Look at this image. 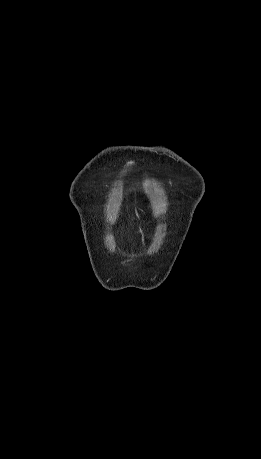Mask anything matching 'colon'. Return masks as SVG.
I'll list each match as a JSON object with an SVG mask.
<instances>
[{
  "label": "colon",
  "mask_w": 261,
  "mask_h": 459,
  "mask_svg": "<svg viewBox=\"0 0 261 459\" xmlns=\"http://www.w3.org/2000/svg\"><path fill=\"white\" fill-rule=\"evenodd\" d=\"M142 224L145 225V226H148L150 224V221L148 219H145L142 221ZM137 231V228L135 226H132V227H126L124 229V234L126 236H131L133 233H135ZM145 235H147L148 233L145 232L144 233Z\"/></svg>",
  "instance_id": "obj_1"
}]
</instances>
